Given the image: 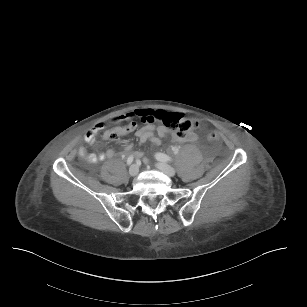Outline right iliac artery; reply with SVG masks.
Returning <instances> with one entry per match:
<instances>
[{"label": "right iliac artery", "instance_id": "82829eb1", "mask_svg": "<svg viewBox=\"0 0 307 307\" xmlns=\"http://www.w3.org/2000/svg\"><path fill=\"white\" fill-rule=\"evenodd\" d=\"M133 160H134V157L129 156L128 159H127V165L130 166L132 164Z\"/></svg>", "mask_w": 307, "mask_h": 307}]
</instances>
